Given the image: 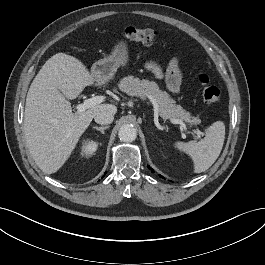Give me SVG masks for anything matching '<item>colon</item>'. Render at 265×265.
Wrapping results in <instances>:
<instances>
[{"mask_svg": "<svg viewBox=\"0 0 265 265\" xmlns=\"http://www.w3.org/2000/svg\"><path fill=\"white\" fill-rule=\"evenodd\" d=\"M125 37L129 41L150 45L157 41L158 33L153 29L130 26L125 29ZM199 82L202 85L204 101L211 105L219 104L222 99L221 91L216 86L210 84L209 77L206 74H201Z\"/></svg>", "mask_w": 265, "mask_h": 265, "instance_id": "obj_1", "label": "colon"}]
</instances>
